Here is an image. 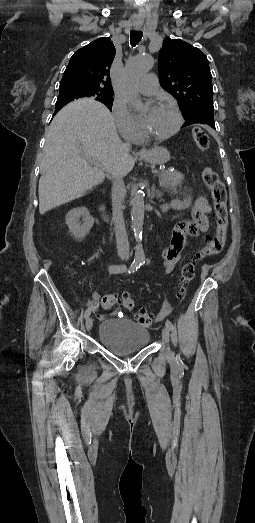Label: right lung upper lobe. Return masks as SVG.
Listing matches in <instances>:
<instances>
[{"label": "right lung upper lobe", "instance_id": "1", "mask_svg": "<svg viewBox=\"0 0 255 523\" xmlns=\"http://www.w3.org/2000/svg\"><path fill=\"white\" fill-rule=\"evenodd\" d=\"M110 38H99L76 51L60 82L59 91L113 95L109 69L115 57ZM67 103L56 102L54 115Z\"/></svg>", "mask_w": 255, "mask_h": 523}]
</instances>
